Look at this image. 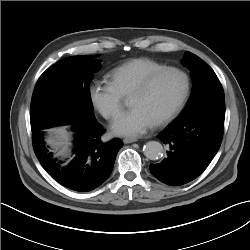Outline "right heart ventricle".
Masks as SVG:
<instances>
[{
  "label": "right heart ventricle",
  "mask_w": 250,
  "mask_h": 250,
  "mask_svg": "<svg viewBox=\"0 0 250 250\" xmlns=\"http://www.w3.org/2000/svg\"><path fill=\"white\" fill-rule=\"evenodd\" d=\"M164 67V64L150 58H134L112 69L109 78L122 96H130L145 77Z\"/></svg>",
  "instance_id": "e07e8e85"
}]
</instances>
